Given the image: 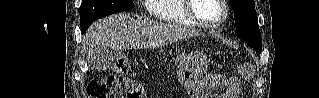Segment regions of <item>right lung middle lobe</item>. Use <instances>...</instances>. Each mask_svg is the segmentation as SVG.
Returning <instances> with one entry per match:
<instances>
[{"label": "right lung middle lobe", "instance_id": "obj_1", "mask_svg": "<svg viewBox=\"0 0 319 98\" xmlns=\"http://www.w3.org/2000/svg\"><path fill=\"white\" fill-rule=\"evenodd\" d=\"M134 7L131 0H83L80 25L84 26L97 19Z\"/></svg>", "mask_w": 319, "mask_h": 98}]
</instances>
